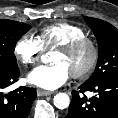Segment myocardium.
<instances>
[{
  "label": "myocardium",
  "instance_id": "1",
  "mask_svg": "<svg viewBox=\"0 0 118 118\" xmlns=\"http://www.w3.org/2000/svg\"><path fill=\"white\" fill-rule=\"evenodd\" d=\"M83 48H88L90 50V59L82 70L70 73L71 76L76 79H85L89 77L95 69L100 55L98 44L93 39L85 36L69 41L57 47L58 51H61L65 54H73Z\"/></svg>",
  "mask_w": 118,
  "mask_h": 118
}]
</instances>
